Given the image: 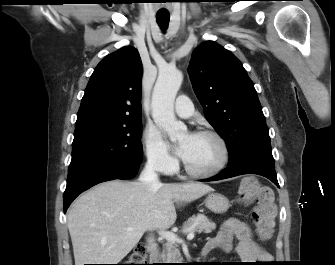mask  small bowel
<instances>
[{
  "mask_svg": "<svg viewBox=\"0 0 335 265\" xmlns=\"http://www.w3.org/2000/svg\"><path fill=\"white\" fill-rule=\"evenodd\" d=\"M205 247L209 248L210 251L220 249L224 252H230L234 249L240 258L247 262L271 259V255L254 239L251 228L236 218L226 220L217 236L209 240Z\"/></svg>",
  "mask_w": 335,
  "mask_h": 265,
  "instance_id": "c3829d8e",
  "label": "small bowel"
}]
</instances>
